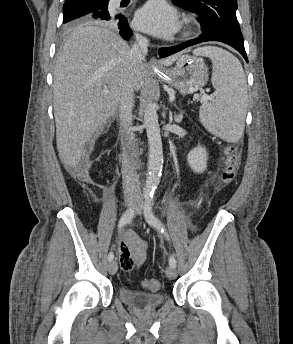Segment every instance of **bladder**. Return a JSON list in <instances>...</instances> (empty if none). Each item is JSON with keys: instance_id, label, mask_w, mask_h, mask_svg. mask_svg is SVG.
Returning a JSON list of instances; mask_svg holds the SVG:
<instances>
[{"instance_id": "bladder-1", "label": "bladder", "mask_w": 293, "mask_h": 344, "mask_svg": "<svg viewBox=\"0 0 293 344\" xmlns=\"http://www.w3.org/2000/svg\"><path fill=\"white\" fill-rule=\"evenodd\" d=\"M120 300L138 311L154 310L165 302V295L160 292L148 293L127 287L119 289Z\"/></svg>"}]
</instances>
